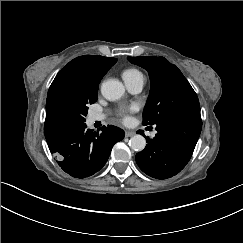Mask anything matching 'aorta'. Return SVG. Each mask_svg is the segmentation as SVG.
Masks as SVG:
<instances>
[{"label":"aorta","instance_id":"aorta-1","mask_svg":"<svg viewBox=\"0 0 243 243\" xmlns=\"http://www.w3.org/2000/svg\"><path fill=\"white\" fill-rule=\"evenodd\" d=\"M101 93L105 99L115 101L123 96L125 88L119 80L109 79L102 83ZM129 146L135 151H142L146 146V140L142 135L136 134L129 140Z\"/></svg>","mask_w":243,"mask_h":243}]
</instances>
